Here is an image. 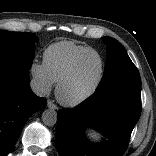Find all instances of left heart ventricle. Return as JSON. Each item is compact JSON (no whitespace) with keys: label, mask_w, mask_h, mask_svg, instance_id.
Instances as JSON below:
<instances>
[{"label":"left heart ventricle","mask_w":156,"mask_h":156,"mask_svg":"<svg viewBox=\"0 0 156 156\" xmlns=\"http://www.w3.org/2000/svg\"><path fill=\"white\" fill-rule=\"evenodd\" d=\"M100 59L89 54L79 63L72 79L63 87L62 96L68 100L76 99L89 91L99 78Z\"/></svg>","instance_id":"obj_1"}]
</instances>
